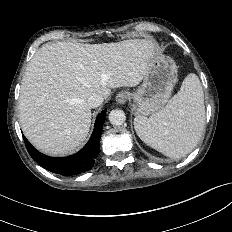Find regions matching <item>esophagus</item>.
<instances>
[{
	"mask_svg": "<svg viewBox=\"0 0 232 232\" xmlns=\"http://www.w3.org/2000/svg\"><path fill=\"white\" fill-rule=\"evenodd\" d=\"M129 99V93L126 91H121L116 96V102L118 104H124Z\"/></svg>",
	"mask_w": 232,
	"mask_h": 232,
	"instance_id": "obj_1",
	"label": "esophagus"
}]
</instances>
